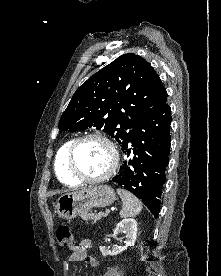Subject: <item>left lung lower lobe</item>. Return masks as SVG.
Listing matches in <instances>:
<instances>
[{"label":"left lung lower lobe","mask_w":221,"mask_h":276,"mask_svg":"<svg viewBox=\"0 0 221 276\" xmlns=\"http://www.w3.org/2000/svg\"><path fill=\"white\" fill-rule=\"evenodd\" d=\"M170 127L171 109L166 102L139 126L128 144L122 148L128 159L112 179V182L141 199L155 218L159 215L162 189L166 182Z\"/></svg>","instance_id":"1"}]
</instances>
